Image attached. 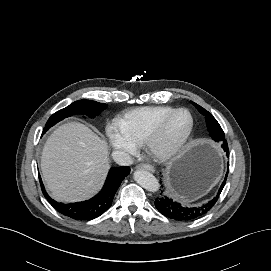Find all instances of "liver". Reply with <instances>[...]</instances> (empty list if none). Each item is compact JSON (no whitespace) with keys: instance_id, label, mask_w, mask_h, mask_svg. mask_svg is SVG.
I'll list each match as a JSON object with an SVG mask.
<instances>
[{"instance_id":"1","label":"liver","mask_w":271,"mask_h":271,"mask_svg":"<svg viewBox=\"0 0 271 271\" xmlns=\"http://www.w3.org/2000/svg\"><path fill=\"white\" fill-rule=\"evenodd\" d=\"M108 146L81 123L59 126L47 139L41 169L52 198L76 202L94 195L109 170Z\"/></svg>"}]
</instances>
